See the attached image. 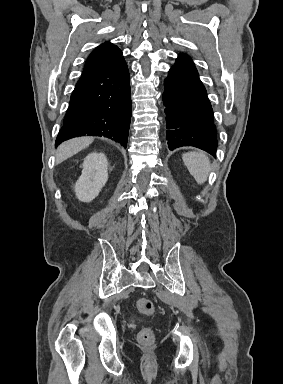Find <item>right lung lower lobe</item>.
<instances>
[{"label":"right lung lower lobe","mask_w":283,"mask_h":384,"mask_svg":"<svg viewBox=\"0 0 283 384\" xmlns=\"http://www.w3.org/2000/svg\"><path fill=\"white\" fill-rule=\"evenodd\" d=\"M132 113L125 61L108 70L82 75L70 98L55 146L78 136H104L127 146Z\"/></svg>","instance_id":"right-lung-lower-lobe-1"}]
</instances>
